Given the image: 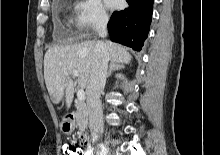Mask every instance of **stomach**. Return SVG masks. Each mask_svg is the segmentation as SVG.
Listing matches in <instances>:
<instances>
[{
  "label": "stomach",
  "mask_w": 220,
  "mask_h": 155,
  "mask_svg": "<svg viewBox=\"0 0 220 155\" xmlns=\"http://www.w3.org/2000/svg\"><path fill=\"white\" fill-rule=\"evenodd\" d=\"M75 122L70 118H65L60 123V130L64 134H71L74 131Z\"/></svg>",
  "instance_id": "1"
}]
</instances>
